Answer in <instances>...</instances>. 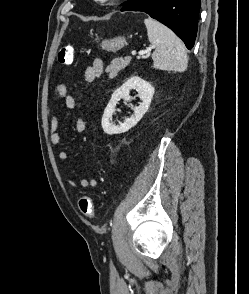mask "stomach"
I'll list each match as a JSON object with an SVG mask.
<instances>
[{
  "label": "stomach",
  "mask_w": 249,
  "mask_h": 294,
  "mask_svg": "<svg viewBox=\"0 0 249 294\" xmlns=\"http://www.w3.org/2000/svg\"><path fill=\"white\" fill-rule=\"evenodd\" d=\"M126 44V38L124 36H118L112 39H105L102 41V47L111 52L120 50Z\"/></svg>",
  "instance_id": "obj_1"
}]
</instances>
